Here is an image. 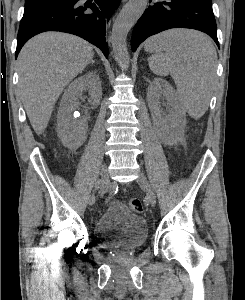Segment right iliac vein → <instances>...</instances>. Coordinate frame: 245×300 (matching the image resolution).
<instances>
[{
  "instance_id": "obj_1",
  "label": "right iliac vein",
  "mask_w": 245,
  "mask_h": 300,
  "mask_svg": "<svg viewBox=\"0 0 245 300\" xmlns=\"http://www.w3.org/2000/svg\"><path fill=\"white\" fill-rule=\"evenodd\" d=\"M103 182H108V187H109V176H108V169H107V165L106 164H104L102 166L100 182H99V185L97 187H95V188L99 189L100 186L103 185ZM94 203H95V195L92 194L88 198V204L89 205H93Z\"/></svg>"
}]
</instances>
